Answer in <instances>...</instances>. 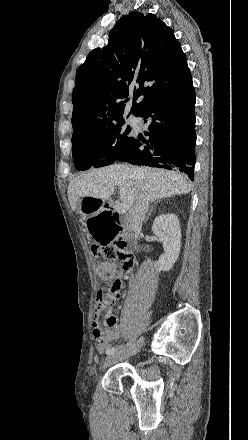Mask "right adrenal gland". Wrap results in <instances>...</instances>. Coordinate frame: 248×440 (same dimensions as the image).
Masks as SVG:
<instances>
[{
  "label": "right adrenal gland",
  "instance_id": "right-adrenal-gland-1",
  "mask_svg": "<svg viewBox=\"0 0 248 440\" xmlns=\"http://www.w3.org/2000/svg\"><path fill=\"white\" fill-rule=\"evenodd\" d=\"M158 202H160V200H157V201L154 203V205L152 206L151 210L149 211V213H148L147 216L145 217V219H144V222H145V223L148 221V219H149V217H150V215H151V213H152V211H153V207H154Z\"/></svg>",
  "mask_w": 248,
  "mask_h": 440
}]
</instances>
